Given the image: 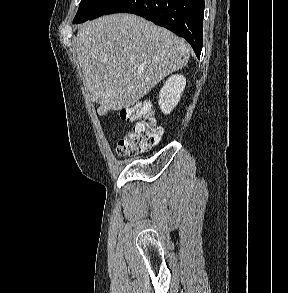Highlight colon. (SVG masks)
Instances as JSON below:
<instances>
[{
	"mask_svg": "<svg viewBox=\"0 0 288 293\" xmlns=\"http://www.w3.org/2000/svg\"><path fill=\"white\" fill-rule=\"evenodd\" d=\"M121 119L132 123V127L118 140L116 151L120 156H131L144 152L157 145L163 134L151 107L146 103H138L124 108L120 112Z\"/></svg>",
	"mask_w": 288,
	"mask_h": 293,
	"instance_id": "1",
	"label": "colon"
}]
</instances>
